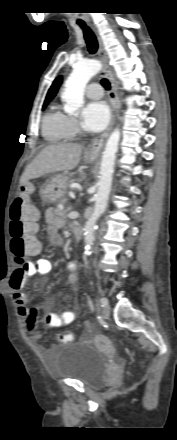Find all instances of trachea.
Listing matches in <instances>:
<instances>
[{
	"label": "trachea",
	"instance_id": "1",
	"mask_svg": "<svg viewBox=\"0 0 177 440\" xmlns=\"http://www.w3.org/2000/svg\"><path fill=\"white\" fill-rule=\"evenodd\" d=\"M79 25L83 30L88 51L91 54H94L98 49V42L95 34L85 23H79ZM101 84L105 89L110 90V82L107 79H102Z\"/></svg>",
	"mask_w": 177,
	"mask_h": 440
}]
</instances>
